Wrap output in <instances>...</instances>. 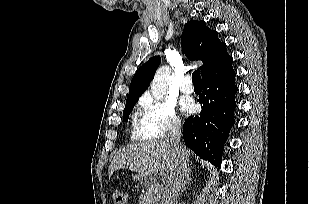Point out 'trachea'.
<instances>
[{"label":"trachea","mask_w":309,"mask_h":204,"mask_svg":"<svg viewBox=\"0 0 309 204\" xmlns=\"http://www.w3.org/2000/svg\"><path fill=\"white\" fill-rule=\"evenodd\" d=\"M192 79L194 85H201V75L199 70L194 71V73L192 74Z\"/></svg>","instance_id":"3493384b"}]
</instances>
